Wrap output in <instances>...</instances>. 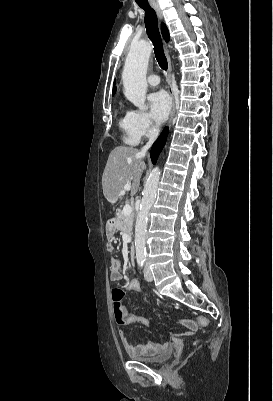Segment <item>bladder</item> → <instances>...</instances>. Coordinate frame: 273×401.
Listing matches in <instances>:
<instances>
[{
    "instance_id": "31cf9c89",
    "label": "bladder",
    "mask_w": 273,
    "mask_h": 401,
    "mask_svg": "<svg viewBox=\"0 0 273 401\" xmlns=\"http://www.w3.org/2000/svg\"><path fill=\"white\" fill-rule=\"evenodd\" d=\"M173 352H174L173 349L169 347L161 351L158 355L154 357H141L134 355H130V357L134 361H139L150 365H161L167 362L173 356Z\"/></svg>"
}]
</instances>
